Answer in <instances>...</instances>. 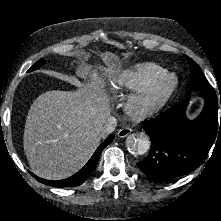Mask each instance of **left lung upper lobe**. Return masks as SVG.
Masks as SVG:
<instances>
[{
	"instance_id": "obj_1",
	"label": "left lung upper lobe",
	"mask_w": 221,
	"mask_h": 221,
	"mask_svg": "<svg viewBox=\"0 0 221 221\" xmlns=\"http://www.w3.org/2000/svg\"><path fill=\"white\" fill-rule=\"evenodd\" d=\"M190 65L191 69V81L190 85L193 90L196 91H211L214 90L212 86L209 85L206 78L204 77L200 67L189 57L185 56Z\"/></svg>"
}]
</instances>
